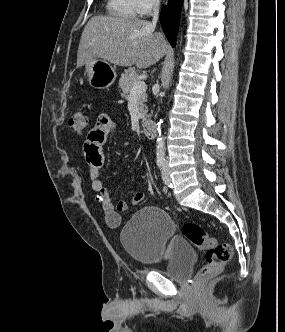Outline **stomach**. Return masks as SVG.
Masks as SVG:
<instances>
[{"mask_svg": "<svg viewBox=\"0 0 285 332\" xmlns=\"http://www.w3.org/2000/svg\"><path fill=\"white\" fill-rule=\"evenodd\" d=\"M86 73L90 86L95 89L109 88L117 76L110 64L98 59L86 64Z\"/></svg>", "mask_w": 285, "mask_h": 332, "instance_id": "stomach-1", "label": "stomach"}]
</instances>
